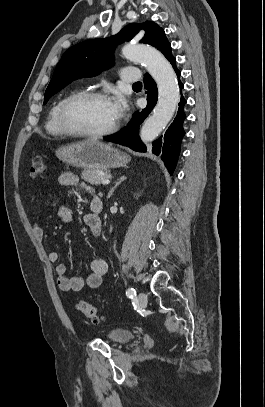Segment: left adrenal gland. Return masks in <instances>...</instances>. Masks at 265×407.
<instances>
[{
	"mask_svg": "<svg viewBox=\"0 0 265 407\" xmlns=\"http://www.w3.org/2000/svg\"><path fill=\"white\" fill-rule=\"evenodd\" d=\"M126 180V176H121L117 182L115 183L114 187L111 188V190L108 193V198H110L114 192V190L124 181Z\"/></svg>",
	"mask_w": 265,
	"mask_h": 407,
	"instance_id": "left-adrenal-gland-1",
	"label": "left adrenal gland"
}]
</instances>
